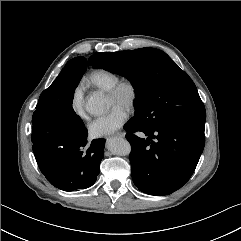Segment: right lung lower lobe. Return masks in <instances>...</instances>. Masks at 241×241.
Listing matches in <instances>:
<instances>
[{
	"instance_id": "obj_1",
	"label": "right lung lower lobe",
	"mask_w": 241,
	"mask_h": 241,
	"mask_svg": "<svg viewBox=\"0 0 241 241\" xmlns=\"http://www.w3.org/2000/svg\"><path fill=\"white\" fill-rule=\"evenodd\" d=\"M87 134L86 130L78 140L57 147L32 128V149L37 164L53 186L74 191L95 183L104 157L105 139H94L87 146Z\"/></svg>"
}]
</instances>
